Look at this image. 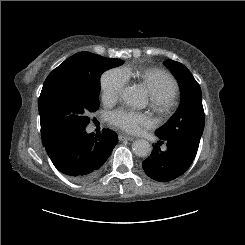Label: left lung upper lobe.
Here are the masks:
<instances>
[{
  "label": "left lung upper lobe",
  "mask_w": 245,
  "mask_h": 245,
  "mask_svg": "<svg viewBox=\"0 0 245 245\" xmlns=\"http://www.w3.org/2000/svg\"><path fill=\"white\" fill-rule=\"evenodd\" d=\"M164 63L180 84L181 104L176 113L155 134L164 139L183 140L198 148L204 129L200 86L183 64L171 59Z\"/></svg>",
  "instance_id": "5c2ea615"
}]
</instances>
